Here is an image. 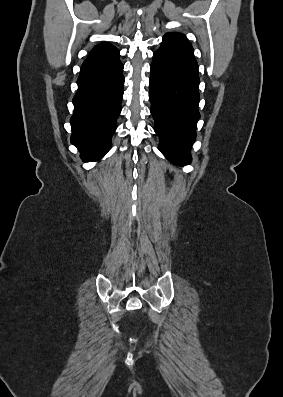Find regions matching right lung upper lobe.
Here are the masks:
<instances>
[{"label": "right lung upper lobe", "instance_id": "obj_1", "mask_svg": "<svg viewBox=\"0 0 283 397\" xmlns=\"http://www.w3.org/2000/svg\"><path fill=\"white\" fill-rule=\"evenodd\" d=\"M119 57V50L109 43H102L95 46L88 58L83 62L82 67H89L106 63Z\"/></svg>", "mask_w": 283, "mask_h": 397}]
</instances>
